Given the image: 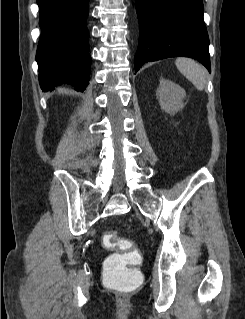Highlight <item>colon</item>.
<instances>
[{"label":"colon","instance_id":"5ec220e1","mask_svg":"<svg viewBox=\"0 0 245 319\" xmlns=\"http://www.w3.org/2000/svg\"><path fill=\"white\" fill-rule=\"evenodd\" d=\"M101 242L106 249H118L105 260V283L108 286L123 290L137 288L141 284V275L134 268V265L140 261V255L134 249L132 242L128 239L119 238L112 231H107Z\"/></svg>","mask_w":245,"mask_h":319}]
</instances>
